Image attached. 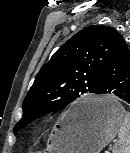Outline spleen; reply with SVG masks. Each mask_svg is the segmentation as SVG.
I'll return each mask as SVG.
<instances>
[{"label": "spleen", "instance_id": "1", "mask_svg": "<svg viewBox=\"0 0 130 153\" xmlns=\"http://www.w3.org/2000/svg\"><path fill=\"white\" fill-rule=\"evenodd\" d=\"M118 143L113 153H130V113H126L118 130Z\"/></svg>", "mask_w": 130, "mask_h": 153}]
</instances>
